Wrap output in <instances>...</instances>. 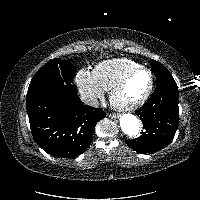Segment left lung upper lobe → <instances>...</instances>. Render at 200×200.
Listing matches in <instances>:
<instances>
[{
    "mask_svg": "<svg viewBox=\"0 0 200 200\" xmlns=\"http://www.w3.org/2000/svg\"><path fill=\"white\" fill-rule=\"evenodd\" d=\"M151 66L157 78V86L162 84L176 85L174 78L162 64L155 60H151Z\"/></svg>",
    "mask_w": 200,
    "mask_h": 200,
    "instance_id": "1",
    "label": "left lung upper lobe"
}]
</instances>
